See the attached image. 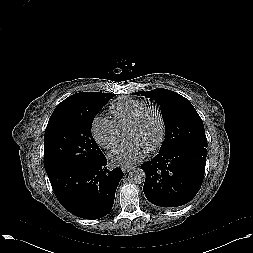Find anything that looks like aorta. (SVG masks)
<instances>
[{
	"label": "aorta",
	"instance_id": "aorta-1",
	"mask_svg": "<svg viewBox=\"0 0 253 253\" xmlns=\"http://www.w3.org/2000/svg\"><path fill=\"white\" fill-rule=\"evenodd\" d=\"M129 179L135 184H140L145 181L144 170L137 168L129 172Z\"/></svg>",
	"mask_w": 253,
	"mask_h": 253
}]
</instances>
